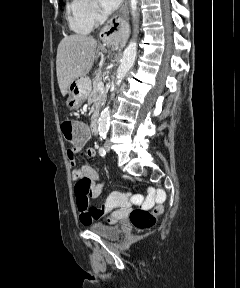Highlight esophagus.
<instances>
[{"label": "esophagus", "mask_w": 240, "mask_h": 288, "mask_svg": "<svg viewBox=\"0 0 240 288\" xmlns=\"http://www.w3.org/2000/svg\"><path fill=\"white\" fill-rule=\"evenodd\" d=\"M128 2L124 0L119 12L102 28L100 38L109 46H124L128 38Z\"/></svg>", "instance_id": "obj_1"}]
</instances>
